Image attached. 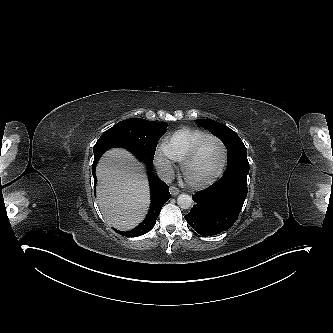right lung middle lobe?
Listing matches in <instances>:
<instances>
[{
  "label": "right lung middle lobe",
  "instance_id": "obj_1",
  "mask_svg": "<svg viewBox=\"0 0 333 333\" xmlns=\"http://www.w3.org/2000/svg\"><path fill=\"white\" fill-rule=\"evenodd\" d=\"M167 124L131 118L118 122L107 130L126 138L148 161L152 162L159 138L166 132Z\"/></svg>",
  "mask_w": 333,
  "mask_h": 333
}]
</instances>
